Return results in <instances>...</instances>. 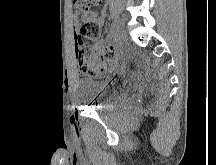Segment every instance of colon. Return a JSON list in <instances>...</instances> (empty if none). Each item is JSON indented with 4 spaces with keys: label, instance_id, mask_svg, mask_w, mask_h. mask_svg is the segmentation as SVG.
I'll use <instances>...</instances> for the list:
<instances>
[{
    "label": "colon",
    "instance_id": "5ec220e1",
    "mask_svg": "<svg viewBox=\"0 0 216 165\" xmlns=\"http://www.w3.org/2000/svg\"><path fill=\"white\" fill-rule=\"evenodd\" d=\"M73 3L79 13L87 15L93 7L101 4V0H73ZM99 34V25L87 17L75 35L78 71L91 78L109 68L113 58L108 52L97 53L94 50Z\"/></svg>",
    "mask_w": 216,
    "mask_h": 165
}]
</instances>
